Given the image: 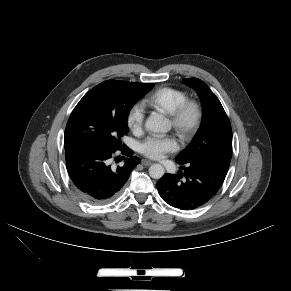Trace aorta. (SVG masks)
<instances>
[{"label": "aorta", "mask_w": 291, "mask_h": 291, "mask_svg": "<svg viewBox=\"0 0 291 291\" xmlns=\"http://www.w3.org/2000/svg\"><path fill=\"white\" fill-rule=\"evenodd\" d=\"M145 128L155 133H166L170 130V124L164 116L155 114L146 120ZM164 173L165 170L161 164H153L149 167V175L154 179L162 178Z\"/></svg>", "instance_id": "762f6f07"}]
</instances>
